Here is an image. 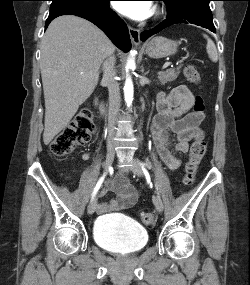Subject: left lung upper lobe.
I'll return each mask as SVG.
<instances>
[{"label": "left lung upper lobe", "mask_w": 250, "mask_h": 285, "mask_svg": "<svg viewBox=\"0 0 250 285\" xmlns=\"http://www.w3.org/2000/svg\"><path fill=\"white\" fill-rule=\"evenodd\" d=\"M167 6L169 18L181 17L191 12H202L212 15L209 7L211 0H159Z\"/></svg>", "instance_id": "left-lung-upper-lobe-1"}]
</instances>
